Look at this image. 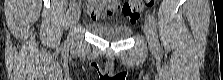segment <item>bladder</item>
I'll return each mask as SVG.
<instances>
[{"mask_svg":"<svg viewBox=\"0 0 223 80\" xmlns=\"http://www.w3.org/2000/svg\"><path fill=\"white\" fill-rule=\"evenodd\" d=\"M87 28L94 35L107 40H124L132 34L131 28L117 24L88 23Z\"/></svg>","mask_w":223,"mask_h":80,"instance_id":"bladder-1","label":"bladder"}]
</instances>
